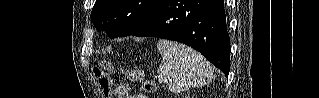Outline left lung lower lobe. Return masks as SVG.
<instances>
[{
  "instance_id": "left-lung-lower-lobe-1",
  "label": "left lung lower lobe",
  "mask_w": 319,
  "mask_h": 98,
  "mask_svg": "<svg viewBox=\"0 0 319 98\" xmlns=\"http://www.w3.org/2000/svg\"><path fill=\"white\" fill-rule=\"evenodd\" d=\"M132 35L187 44L228 76L230 40L222 0H160L147 22Z\"/></svg>"
}]
</instances>
